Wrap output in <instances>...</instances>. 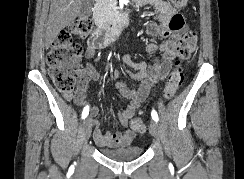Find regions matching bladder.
<instances>
[{"instance_id":"bladder-1","label":"bladder","mask_w":244,"mask_h":179,"mask_svg":"<svg viewBox=\"0 0 244 179\" xmlns=\"http://www.w3.org/2000/svg\"><path fill=\"white\" fill-rule=\"evenodd\" d=\"M100 150L103 156L120 161H128L131 159L139 158L143 153V149L138 147H127L117 150L100 148Z\"/></svg>"}]
</instances>
